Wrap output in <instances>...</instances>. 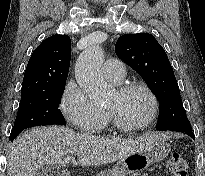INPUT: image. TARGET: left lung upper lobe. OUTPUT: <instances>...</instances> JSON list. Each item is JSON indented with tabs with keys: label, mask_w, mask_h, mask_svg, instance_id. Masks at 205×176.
<instances>
[{
	"label": "left lung upper lobe",
	"mask_w": 205,
	"mask_h": 176,
	"mask_svg": "<svg viewBox=\"0 0 205 176\" xmlns=\"http://www.w3.org/2000/svg\"><path fill=\"white\" fill-rule=\"evenodd\" d=\"M117 56L138 72L160 101V131L190 130L179 87L163 47L148 33L121 36L115 45Z\"/></svg>",
	"instance_id": "5c2ea615"
}]
</instances>
